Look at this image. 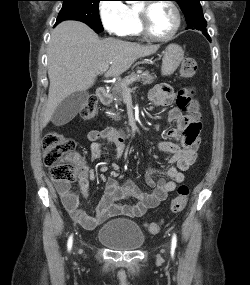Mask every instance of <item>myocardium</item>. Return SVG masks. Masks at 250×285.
Returning <instances> with one entry per match:
<instances>
[{
	"label": "myocardium",
	"mask_w": 250,
	"mask_h": 285,
	"mask_svg": "<svg viewBox=\"0 0 250 285\" xmlns=\"http://www.w3.org/2000/svg\"><path fill=\"white\" fill-rule=\"evenodd\" d=\"M154 3L156 2H144L140 4L138 7H136L138 18H139L141 34L147 39L155 41V42H168L172 40L176 36L178 31L180 30V27L182 24L181 12L178 6L172 0H164L163 2H159V3H165L171 7V9L173 10L175 14L176 23L171 33L168 34L167 36H156L155 34L152 33L150 29L149 17H148L149 7L153 5Z\"/></svg>",
	"instance_id": "obj_1"
}]
</instances>
